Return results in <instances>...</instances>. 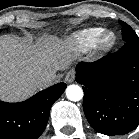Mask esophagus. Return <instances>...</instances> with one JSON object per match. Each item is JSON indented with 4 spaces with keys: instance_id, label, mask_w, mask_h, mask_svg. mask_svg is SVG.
Masks as SVG:
<instances>
[{
    "instance_id": "obj_1",
    "label": "esophagus",
    "mask_w": 139,
    "mask_h": 139,
    "mask_svg": "<svg viewBox=\"0 0 139 139\" xmlns=\"http://www.w3.org/2000/svg\"><path fill=\"white\" fill-rule=\"evenodd\" d=\"M75 70L74 69H70L67 73H66V76H65V81L67 83H72L74 80H75Z\"/></svg>"
}]
</instances>
